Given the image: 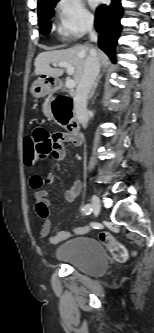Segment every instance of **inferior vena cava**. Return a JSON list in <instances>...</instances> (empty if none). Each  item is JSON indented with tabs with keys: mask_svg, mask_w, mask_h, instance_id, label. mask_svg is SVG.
Wrapping results in <instances>:
<instances>
[{
	"mask_svg": "<svg viewBox=\"0 0 154 333\" xmlns=\"http://www.w3.org/2000/svg\"><path fill=\"white\" fill-rule=\"evenodd\" d=\"M86 27L89 32V39L93 42H97V34L93 30V22L89 21ZM99 70L100 62L96 51L95 49H91L85 61L83 76L78 82L74 96V111L83 128H86L88 123L87 99L95 84Z\"/></svg>",
	"mask_w": 154,
	"mask_h": 333,
	"instance_id": "1",
	"label": "inferior vena cava"
}]
</instances>
